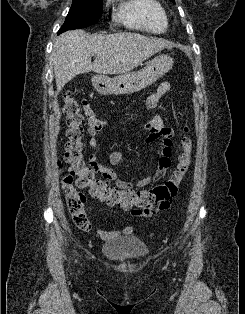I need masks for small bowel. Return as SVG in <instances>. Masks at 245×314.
<instances>
[{
    "label": "small bowel",
    "mask_w": 245,
    "mask_h": 314,
    "mask_svg": "<svg viewBox=\"0 0 245 314\" xmlns=\"http://www.w3.org/2000/svg\"><path fill=\"white\" fill-rule=\"evenodd\" d=\"M170 89L169 82H162L160 83L156 90L147 98L146 100V107L147 111H153L157 109L158 105L160 104L161 100L167 94ZM83 110L87 117L88 121V133L90 135V139L88 140V146L91 150H94L97 147V140L95 138L96 134L102 129L105 125L104 121H101L96 118L91 106L89 103L85 102L83 104ZM98 124V126H96ZM145 129L147 131V137L145 141L147 143H153L160 139L159 145V155L160 159L156 168V171L153 175L145 176L141 179H138L136 182H127L121 180L117 177L114 167L119 165L122 161V153L120 151H111L108 156V165H104L99 162L97 156L94 153H91L89 156V161L92 167L101 175L102 179L105 182H112L114 181L118 188L124 190H135V187H143L148 185L151 182L158 181L162 179L168 169L172 164V155H173V130L166 126L164 123L163 118L158 114H154L146 123ZM133 217L136 218H151L153 216L152 213L144 214L140 213L136 210L131 212ZM134 231L133 226H128L124 228L122 231H103L97 230L96 235L104 241H115L122 235L131 234Z\"/></svg>",
    "instance_id": "c3829d8e"
}]
</instances>
